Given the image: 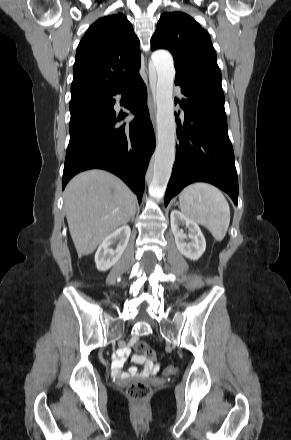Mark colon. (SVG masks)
<instances>
[{"label":"colon","mask_w":291,"mask_h":440,"mask_svg":"<svg viewBox=\"0 0 291 440\" xmlns=\"http://www.w3.org/2000/svg\"><path fill=\"white\" fill-rule=\"evenodd\" d=\"M155 352L152 351L147 342L138 341L135 345V359L144 357H154ZM151 389L148 384L143 381L132 382L127 388L128 398L136 405L142 406L149 398Z\"/></svg>","instance_id":"colon-1"}]
</instances>
